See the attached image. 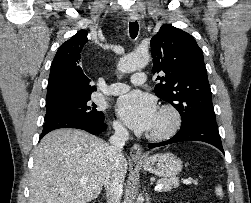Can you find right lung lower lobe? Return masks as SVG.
Instances as JSON below:
<instances>
[{"instance_id": "98d812e1", "label": "right lung lower lobe", "mask_w": 251, "mask_h": 203, "mask_svg": "<svg viewBox=\"0 0 251 203\" xmlns=\"http://www.w3.org/2000/svg\"><path fill=\"white\" fill-rule=\"evenodd\" d=\"M59 128H76L85 130L91 134H100L106 130L107 126L104 122H100L86 116H61L45 121L40 139L48 132Z\"/></svg>"}]
</instances>
